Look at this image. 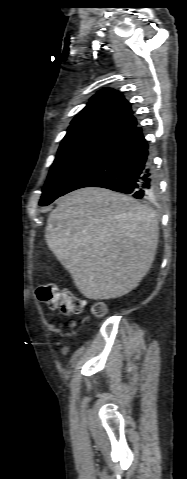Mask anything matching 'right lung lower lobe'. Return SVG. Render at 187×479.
I'll use <instances>...</instances> for the list:
<instances>
[{
    "label": "right lung lower lobe",
    "instance_id": "1",
    "mask_svg": "<svg viewBox=\"0 0 187 479\" xmlns=\"http://www.w3.org/2000/svg\"><path fill=\"white\" fill-rule=\"evenodd\" d=\"M83 187H102L132 194L138 199H155L158 179L140 127L135 126L83 169L59 196Z\"/></svg>",
    "mask_w": 187,
    "mask_h": 479
}]
</instances>
